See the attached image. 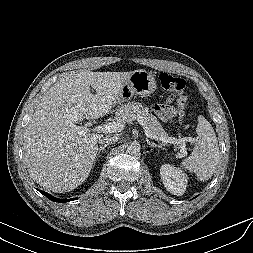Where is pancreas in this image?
<instances>
[{"label": "pancreas", "instance_id": "pancreas-1", "mask_svg": "<svg viewBox=\"0 0 253 253\" xmlns=\"http://www.w3.org/2000/svg\"><path fill=\"white\" fill-rule=\"evenodd\" d=\"M116 119L121 123H131L133 120L142 117L145 126L156 136L168 138V134L162 128L157 118L149 113L148 108L141 103L131 102L120 106L116 112Z\"/></svg>", "mask_w": 253, "mask_h": 253}]
</instances>
